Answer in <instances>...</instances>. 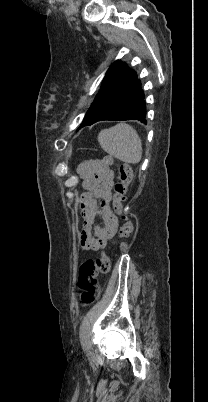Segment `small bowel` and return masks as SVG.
<instances>
[{
  "mask_svg": "<svg viewBox=\"0 0 208 402\" xmlns=\"http://www.w3.org/2000/svg\"><path fill=\"white\" fill-rule=\"evenodd\" d=\"M77 171L86 190L79 199L84 220L79 242L83 249L97 250L116 234L119 225L111 206L115 174L101 159L86 160Z\"/></svg>",
  "mask_w": 208,
  "mask_h": 402,
  "instance_id": "c3829d8e",
  "label": "small bowel"
}]
</instances>
